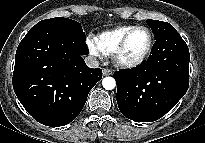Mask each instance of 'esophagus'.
Returning <instances> with one entry per match:
<instances>
[{"label":"esophagus","mask_w":205,"mask_h":143,"mask_svg":"<svg viewBox=\"0 0 205 143\" xmlns=\"http://www.w3.org/2000/svg\"><path fill=\"white\" fill-rule=\"evenodd\" d=\"M102 72H103V76L112 75V71L107 68H103Z\"/></svg>","instance_id":"obj_1"}]
</instances>
